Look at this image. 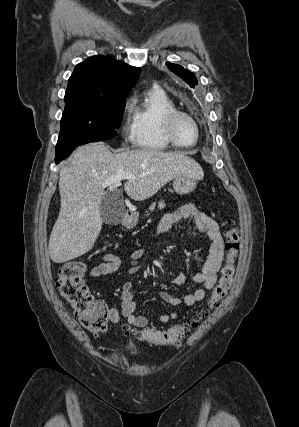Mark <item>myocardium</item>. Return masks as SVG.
Returning a JSON list of instances; mask_svg holds the SVG:
<instances>
[{
  "instance_id": "myocardium-1",
  "label": "myocardium",
  "mask_w": 299,
  "mask_h": 427,
  "mask_svg": "<svg viewBox=\"0 0 299 427\" xmlns=\"http://www.w3.org/2000/svg\"><path fill=\"white\" fill-rule=\"evenodd\" d=\"M181 117H185V118L190 119L196 128V138H195V141L191 144H182V143L178 142V140L175 136L174 125H175L176 121ZM163 132L165 134V137L171 143L172 146H175L178 148H191L198 143L199 138H200V134H201V129H200L199 122L197 121V119L194 116H192L188 112L181 111V110L177 109L174 111H170L164 115V117H163Z\"/></svg>"
}]
</instances>
